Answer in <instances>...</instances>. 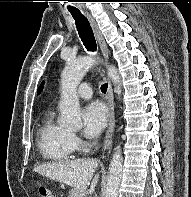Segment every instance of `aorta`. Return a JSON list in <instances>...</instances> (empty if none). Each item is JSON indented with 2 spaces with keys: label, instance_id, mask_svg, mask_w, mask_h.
Instances as JSON below:
<instances>
[{
  "label": "aorta",
  "instance_id": "762f6f07",
  "mask_svg": "<svg viewBox=\"0 0 191 197\" xmlns=\"http://www.w3.org/2000/svg\"><path fill=\"white\" fill-rule=\"evenodd\" d=\"M95 64L93 57H82L67 62L61 74L60 125L79 130L82 128L81 110L77 87L87 71ZM108 75L114 84L115 92L121 95V78L115 66H110ZM123 157L120 146L112 156L107 177L105 197H117L122 178Z\"/></svg>",
  "mask_w": 191,
  "mask_h": 197
}]
</instances>
